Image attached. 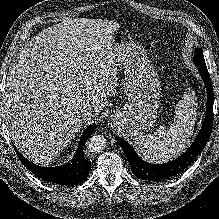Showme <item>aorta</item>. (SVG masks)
Returning a JSON list of instances; mask_svg holds the SVG:
<instances>
[{
	"label": "aorta",
	"mask_w": 219,
	"mask_h": 219,
	"mask_svg": "<svg viewBox=\"0 0 219 219\" xmlns=\"http://www.w3.org/2000/svg\"><path fill=\"white\" fill-rule=\"evenodd\" d=\"M87 148L92 153H100L106 148V139L103 135H94L87 141Z\"/></svg>",
	"instance_id": "1"
}]
</instances>
